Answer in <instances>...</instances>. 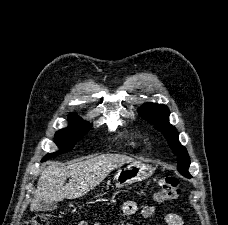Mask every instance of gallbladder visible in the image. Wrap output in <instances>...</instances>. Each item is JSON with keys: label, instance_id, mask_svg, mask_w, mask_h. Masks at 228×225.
Returning a JSON list of instances; mask_svg holds the SVG:
<instances>
[{"label": "gallbladder", "instance_id": "1", "mask_svg": "<svg viewBox=\"0 0 228 225\" xmlns=\"http://www.w3.org/2000/svg\"><path fill=\"white\" fill-rule=\"evenodd\" d=\"M58 205L56 201H49V203H40L39 211H54L57 209Z\"/></svg>", "mask_w": 228, "mask_h": 225}]
</instances>
